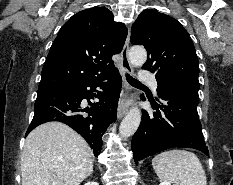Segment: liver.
Wrapping results in <instances>:
<instances>
[{
	"label": "liver",
	"mask_w": 233,
	"mask_h": 185,
	"mask_svg": "<svg viewBox=\"0 0 233 185\" xmlns=\"http://www.w3.org/2000/svg\"><path fill=\"white\" fill-rule=\"evenodd\" d=\"M88 143L61 122H47L29 133L21 154L22 185H80L93 172Z\"/></svg>",
	"instance_id": "liver-1"
}]
</instances>
